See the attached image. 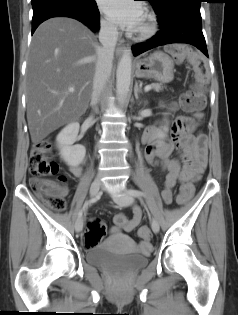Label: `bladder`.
<instances>
[{
  "instance_id": "1",
  "label": "bladder",
  "mask_w": 238,
  "mask_h": 315,
  "mask_svg": "<svg viewBox=\"0 0 238 315\" xmlns=\"http://www.w3.org/2000/svg\"><path fill=\"white\" fill-rule=\"evenodd\" d=\"M100 249L114 248H94L88 249L86 261L94 266H105L115 264L126 269H137L145 266L150 255V251L137 253V256H100Z\"/></svg>"
}]
</instances>
